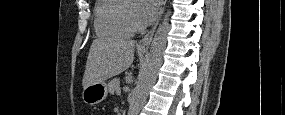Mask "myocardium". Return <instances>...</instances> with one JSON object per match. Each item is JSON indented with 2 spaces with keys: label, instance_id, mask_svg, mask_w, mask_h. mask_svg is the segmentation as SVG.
I'll return each mask as SVG.
<instances>
[{
  "label": "myocardium",
  "instance_id": "obj_1",
  "mask_svg": "<svg viewBox=\"0 0 285 115\" xmlns=\"http://www.w3.org/2000/svg\"><path fill=\"white\" fill-rule=\"evenodd\" d=\"M129 5H124V20L127 25L133 30H140L142 27L139 25L137 19L128 12Z\"/></svg>",
  "mask_w": 285,
  "mask_h": 115
}]
</instances>
